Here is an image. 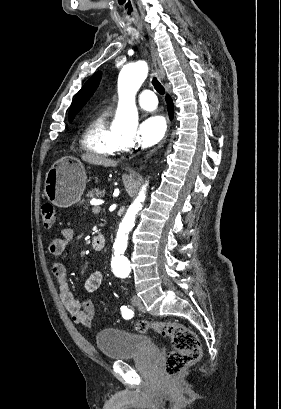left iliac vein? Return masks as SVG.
<instances>
[{
  "instance_id": "left-iliac-vein-1",
  "label": "left iliac vein",
  "mask_w": 281,
  "mask_h": 409,
  "mask_svg": "<svg viewBox=\"0 0 281 409\" xmlns=\"http://www.w3.org/2000/svg\"><path fill=\"white\" fill-rule=\"evenodd\" d=\"M131 302L133 306H141L142 305V301L141 299L137 296V295H133V297L131 298Z\"/></svg>"
}]
</instances>
